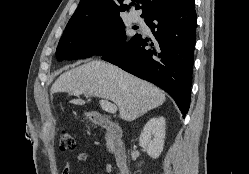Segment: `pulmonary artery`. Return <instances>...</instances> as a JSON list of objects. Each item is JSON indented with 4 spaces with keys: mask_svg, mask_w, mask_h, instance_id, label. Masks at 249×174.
Listing matches in <instances>:
<instances>
[{
    "mask_svg": "<svg viewBox=\"0 0 249 174\" xmlns=\"http://www.w3.org/2000/svg\"><path fill=\"white\" fill-rule=\"evenodd\" d=\"M134 21L139 22V23H142V22H143V19H142L140 16L135 15V16H134Z\"/></svg>",
    "mask_w": 249,
    "mask_h": 174,
    "instance_id": "1",
    "label": "pulmonary artery"
}]
</instances>
